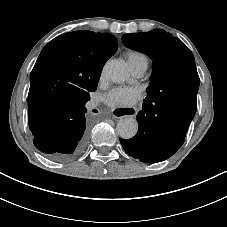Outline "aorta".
<instances>
[{
	"instance_id": "762f6f07",
	"label": "aorta",
	"mask_w": 227,
	"mask_h": 227,
	"mask_svg": "<svg viewBox=\"0 0 227 227\" xmlns=\"http://www.w3.org/2000/svg\"><path fill=\"white\" fill-rule=\"evenodd\" d=\"M104 74L114 83L125 82L129 78L128 70L123 62L109 60L104 66ZM138 131V123L134 118H122L117 123V132L123 139L133 138Z\"/></svg>"
}]
</instances>
